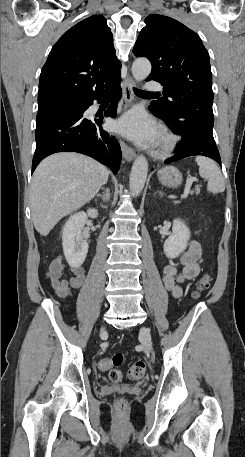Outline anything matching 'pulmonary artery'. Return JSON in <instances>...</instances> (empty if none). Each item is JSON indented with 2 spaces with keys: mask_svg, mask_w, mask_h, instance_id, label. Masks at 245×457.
Instances as JSON below:
<instances>
[{
  "mask_svg": "<svg viewBox=\"0 0 245 457\" xmlns=\"http://www.w3.org/2000/svg\"><path fill=\"white\" fill-rule=\"evenodd\" d=\"M163 82L162 81H157V80H144L143 82V87L145 93H152L153 90H162L163 89ZM164 95L166 94L165 92L163 93Z\"/></svg>",
  "mask_w": 245,
  "mask_h": 457,
  "instance_id": "obj_1",
  "label": "pulmonary artery"
}]
</instances>
